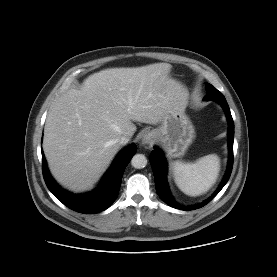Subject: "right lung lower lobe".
<instances>
[{"instance_id": "1", "label": "right lung lower lobe", "mask_w": 277, "mask_h": 277, "mask_svg": "<svg viewBox=\"0 0 277 277\" xmlns=\"http://www.w3.org/2000/svg\"><path fill=\"white\" fill-rule=\"evenodd\" d=\"M136 151L135 144L122 150L103 176L99 186L86 194L75 195L62 189L50 175L42 151L43 177L52 194L68 208L84 214L101 212L110 207L117 198L124 170Z\"/></svg>"}]
</instances>
